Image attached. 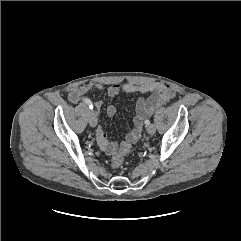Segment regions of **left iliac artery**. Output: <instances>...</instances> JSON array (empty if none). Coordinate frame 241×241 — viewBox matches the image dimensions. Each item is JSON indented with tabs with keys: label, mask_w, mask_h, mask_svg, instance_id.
I'll return each mask as SVG.
<instances>
[{
	"label": "left iliac artery",
	"mask_w": 241,
	"mask_h": 241,
	"mask_svg": "<svg viewBox=\"0 0 241 241\" xmlns=\"http://www.w3.org/2000/svg\"><path fill=\"white\" fill-rule=\"evenodd\" d=\"M145 124H146V125H149V124H150V121H149V120H145Z\"/></svg>",
	"instance_id": "1"
}]
</instances>
